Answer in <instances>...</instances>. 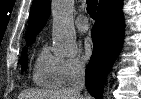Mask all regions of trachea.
Masks as SVG:
<instances>
[{"label": "trachea", "mask_w": 141, "mask_h": 99, "mask_svg": "<svg viewBox=\"0 0 141 99\" xmlns=\"http://www.w3.org/2000/svg\"><path fill=\"white\" fill-rule=\"evenodd\" d=\"M97 0H87V12L91 18H96Z\"/></svg>", "instance_id": "obj_1"}]
</instances>
